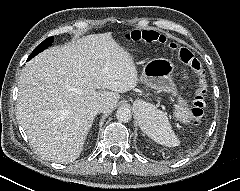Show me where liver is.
Returning a JSON list of instances; mask_svg holds the SVG:
<instances>
[{
  "label": "liver",
  "instance_id": "1",
  "mask_svg": "<svg viewBox=\"0 0 240 191\" xmlns=\"http://www.w3.org/2000/svg\"><path fill=\"white\" fill-rule=\"evenodd\" d=\"M132 57L110 32L83 36L31 59L19 79L17 118L31 145L53 162L75 161L97 112L113 110L120 94L135 88Z\"/></svg>",
  "mask_w": 240,
  "mask_h": 191
}]
</instances>
